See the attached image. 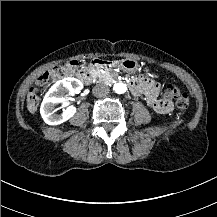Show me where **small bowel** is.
Instances as JSON below:
<instances>
[{
    "instance_id": "obj_1",
    "label": "small bowel",
    "mask_w": 217,
    "mask_h": 217,
    "mask_svg": "<svg viewBox=\"0 0 217 217\" xmlns=\"http://www.w3.org/2000/svg\"><path fill=\"white\" fill-rule=\"evenodd\" d=\"M139 89L133 91L134 96H140L145 92L147 104L158 114H167L172 111L171 97L158 98V83L152 79H138Z\"/></svg>"
}]
</instances>
